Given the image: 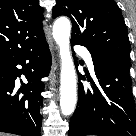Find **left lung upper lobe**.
Instances as JSON below:
<instances>
[{
	"label": "left lung upper lobe",
	"instance_id": "5c2ea615",
	"mask_svg": "<svg viewBox=\"0 0 136 136\" xmlns=\"http://www.w3.org/2000/svg\"><path fill=\"white\" fill-rule=\"evenodd\" d=\"M52 15L71 19L72 42L99 56L130 65L127 27L114 0H57Z\"/></svg>",
	"mask_w": 136,
	"mask_h": 136
}]
</instances>
